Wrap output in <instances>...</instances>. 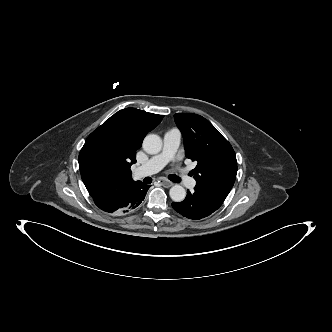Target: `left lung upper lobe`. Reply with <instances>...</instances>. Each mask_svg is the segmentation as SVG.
Wrapping results in <instances>:
<instances>
[{
    "label": "left lung upper lobe",
    "mask_w": 332,
    "mask_h": 332,
    "mask_svg": "<svg viewBox=\"0 0 332 332\" xmlns=\"http://www.w3.org/2000/svg\"><path fill=\"white\" fill-rule=\"evenodd\" d=\"M174 119L184 137L186 157L197 162L191 171L196 180L194 190L222 205L237 174L236 154L232 146L200 115L178 113Z\"/></svg>",
    "instance_id": "left-lung-upper-lobe-1"
}]
</instances>
